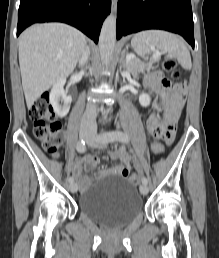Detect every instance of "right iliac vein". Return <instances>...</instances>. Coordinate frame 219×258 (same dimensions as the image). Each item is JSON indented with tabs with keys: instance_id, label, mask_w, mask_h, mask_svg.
<instances>
[{
	"instance_id": "1",
	"label": "right iliac vein",
	"mask_w": 219,
	"mask_h": 258,
	"mask_svg": "<svg viewBox=\"0 0 219 258\" xmlns=\"http://www.w3.org/2000/svg\"><path fill=\"white\" fill-rule=\"evenodd\" d=\"M81 136H82V138H84L86 140L90 137L87 133H83ZM69 189L72 193H75L78 189V186H77L76 183L72 182V183L69 184Z\"/></svg>"
}]
</instances>
